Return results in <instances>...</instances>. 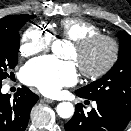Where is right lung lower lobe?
Masks as SVG:
<instances>
[{
    "label": "right lung lower lobe",
    "instance_id": "98d812e1",
    "mask_svg": "<svg viewBox=\"0 0 131 131\" xmlns=\"http://www.w3.org/2000/svg\"><path fill=\"white\" fill-rule=\"evenodd\" d=\"M37 100L38 95L22 87L10 101L8 94L1 93L0 86V131H25L30 111Z\"/></svg>",
    "mask_w": 131,
    "mask_h": 131
}]
</instances>
